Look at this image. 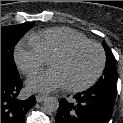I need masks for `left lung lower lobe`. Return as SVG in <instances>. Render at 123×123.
Masks as SVG:
<instances>
[{"mask_svg": "<svg viewBox=\"0 0 123 123\" xmlns=\"http://www.w3.org/2000/svg\"><path fill=\"white\" fill-rule=\"evenodd\" d=\"M116 94V90L91 87L74 95L73 102L62 99L56 123H108Z\"/></svg>", "mask_w": 123, "mask_h": 123, "instance_id": "1", "label": "left lung lower lobe"}]
</instances>
